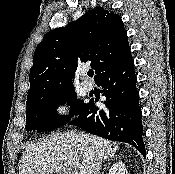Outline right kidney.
Here are the masks:
<instances>
[{"label": "right kidney", "instance_id": "1", "mask_svg": "<svg viewBox=\"0 0 175 174\" xmlns=\"http://www.w3.org/2000/svg\"><path fill=\"white\" fill-rule=\"evenodd\" d=\"M108 174H128V171L125 164L122 161H119L112 165Z\"/></svg>", "mask_w": 175, "mask_h": 174}]
</instances>
